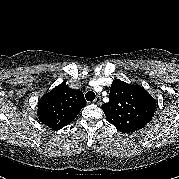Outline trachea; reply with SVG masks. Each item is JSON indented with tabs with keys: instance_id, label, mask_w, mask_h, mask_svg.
Wrapping results in <instances>:
<instances>
[{
	"instance_id": "3493384b",
	"label": "trachea",
	"mask_w": 179,
	"mask_h": 179,
	"mask_svg": "<svg viewBox=\"0 0 179 179\" xmlns=\"http://www.w3.org/2000/svg\"><path fill=\"white\" fill-rule=\"evenodd\" d=\"M85 97H86L87 101H93L95 99V93L92 91H88L85 94Z\"/></svg>"
}]
</instances>
